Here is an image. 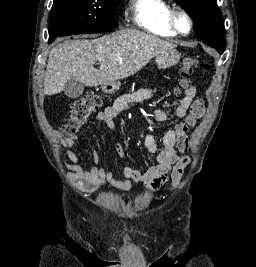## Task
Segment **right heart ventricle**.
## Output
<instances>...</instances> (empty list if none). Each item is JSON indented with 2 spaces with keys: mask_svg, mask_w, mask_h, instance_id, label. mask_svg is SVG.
<instances>
[{
  "mask_svg": "<svg viewBox=\"0 0 256 267\" xmlns=\"http://www.w3.org/2000/svg\"><path fill=\"white\" fill-rule=\"evenodd\" d=\"M159 0H139L138 5L147 10H152L154 15L147 21L138 22L151 36H178L170 23L171 12L167 8H159L156 2Z\"/></svg>",
  "mask_w": 256,
  "mask_h": 267,
  "instance_id": "e07e8e85",
  "label": "right heart ventricle"
}]
</instances>
